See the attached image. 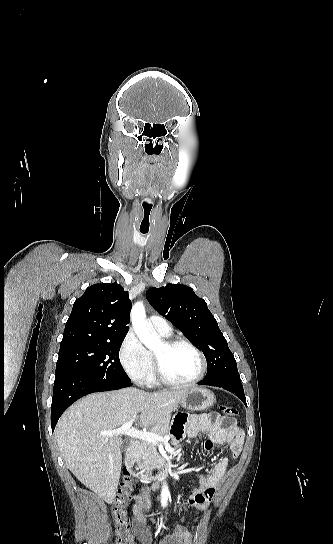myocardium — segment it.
<instances>
[{"instance_id": "myocardium-1", "label": "myocardium", "mask_w": 333, "mask_h": 544, "mask_svg": "<svg viewBox=\"0 0 333 544\" xmlns=\"http://www.w3.org/2000/svg\"><path fill=\"white\" fill-rule=\"evenodd\" d=\"M163 344L167 348H174V347L179 346V345H184V346L189 347L190 349H192L198 355V357L200 359V363H201V368H200V371H199L198 375L195 376L193 379H191L189 381H185V382H176V381H173V380L169 379L165 375L159 358L155 354H153V366H154L155 378L159 383L164 384V385L169 386V387L183 388V387L193 386V385L197 384L198 382H200L205 377V375L207 373V369H208L207 359H206V356L204 355V353L195 344H193L192 342H190V341H188L186 339H183V338L166 339V340L163 341Z\"/></svg>"}]
</instances>
